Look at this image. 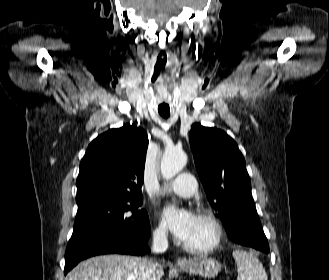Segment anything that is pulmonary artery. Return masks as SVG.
Listing matches in <instances>:
<instances>
[{
  "label": "pulmonary artery",
  "instance_id": "e3ab8cb5",
  "mask_svg": "<svg viewBox=\"0 0 329 280\" xmlns=\"http://www.w3.org/2000/svg\"><path fill=\"white\" fill-rule=\"evenodd\" d=\"M196 180L189 173L178 175L173 181L166 183L162 187L164 193L170 192L181 197H190L196 192Z\"/></svg>",
  "mask_w": 329,
  "mask_h": 280
}]
</instances>
